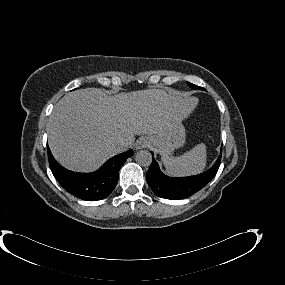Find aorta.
<instances>
[{
  "instance_id": "obj_1",
  "label": "aorta",
  "mask_w": 285,
  "mask_h": 285,
  "mask_svg": "<svg viewBox=\"0 0 285 285\" xmlns=\"http://www.w3.org/2000/svg\"><path fill=\"white\" fill-rule=\"evenodd\" d=\"M136 162L141 166H149L152 163V155L147 150H141L136 154Z\"/></svg>"
}]
</instances>
